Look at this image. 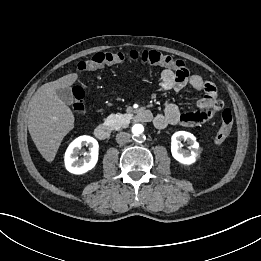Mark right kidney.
I'll return each instance as SVG.
<instances>
[{
	"label": "right kidney",
	"mask_w": 261,
	"mask_h": 261,
	"mask_svg": "<svg viewBox=\"0 0 261 261\" xmlns=\"http://www.w3.org/2000/svg\"><path fill=\"white\" fill-rule=\"evenodd\" d=\"M82 145L89 146L90 153L86 157L78 159V151ZM98 142L90 136H80L68 146L65 152V167L73 174H83L95 167L98 161Z\"/></svg>",
	"instance_id": "ca27d5eb"
}]
</instances>
